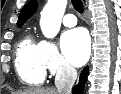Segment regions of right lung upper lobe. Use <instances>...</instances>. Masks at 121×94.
<instances>
[{
  "label": "right lung upper lobe",
  "instance_id": "obj_1",
  "mask_svg": "<svg viewBox=\"0 0 121 94\" xmlns=\"http://www.w3.org/2000/svg\"><path fill=\"white\" fill-rule=\"evenodd\" d=\"M37 7L38 4L35 0H31L29 3H27L19 13L17 26H22L25 21L34 14V12L37 10Z\"/></svg>",
  "mask_w": 121,
  "mask_h": 94
}]
</instances>
